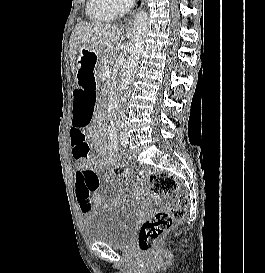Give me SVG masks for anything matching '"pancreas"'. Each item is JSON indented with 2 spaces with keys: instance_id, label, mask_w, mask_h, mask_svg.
I'll list each match as a JSON object with an SVG mask.
<instances>
[{
  "instance_id": "cf45deb5",
  "label": "pancreas",
  "mask_w": 265,
  "mask_h": 273,
  "mask_svg": "<svg viewBox=\"0 0 265 273\" xmlns=\"http://www.w3.org/2000/svg\"><path fill=\"white\" fill-rule=\"evenodd\" d=\"M114 58H115V53L114 52H110L106 55V57H104L102 59V61L99 63L98 67H97V77L100 79H104L106 77V70L109 69L113 62H114Z\"/></svg>"
}]
</instances>
